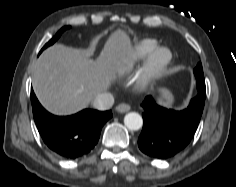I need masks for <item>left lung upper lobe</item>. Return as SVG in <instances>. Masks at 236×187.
<instances>
[{
  "label": "left lung upper lobe",
  "instance_id": "1",
  "mask_svg": "<svg viewBox=\"0 0 236 187\" xmlns=\"http://www.w3.org/2000/svg\"><path fill=\"white\" fill-rule=\"evenodd\" d=\"M194 75L196 78V85L198 91L203 94H206L205 79L201 62H199L196 68L194 69Z\"/></svg>",
  "mask_w": 236,
  "mask_h": 187
}]
</instances>
